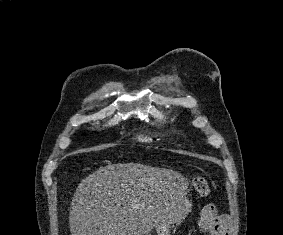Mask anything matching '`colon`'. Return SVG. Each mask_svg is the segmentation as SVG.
<instances>
[{"label": "colon", "instance_id": "obj_1", "mask_svg": "<svg viewBox=\"0 0 283 235\" xmlns=\"http://www.w3.org/2000/svg\"><path fill=\"white\" fill-rule=\"evenodd\" d=\"M192 185L200 196L206 197L209 195L210 186L207 179L204 176L194 175L192 177Z\"/></svg>", "mask_w": 283, "mask_h": 235}]
</instances>
